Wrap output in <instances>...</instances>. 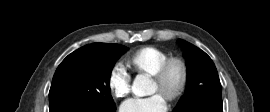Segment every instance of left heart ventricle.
Returning <instances> with one entry per match:
<instances>
[{
    "label": "left heart ventricle",
    "mask_w": 270,
    "mask_h": 112,
    "mask_svg": "<svg viewBox=\"0 0 270 112\" xmlns=\"http://www.w3.org/2000/svg\"><path fill=\"white\" fill-rule=\"evenodd\" d=\"M178 78V71L174 70L171 75V82L174 83ZM151 93H159L165 97V91L158 85L155 80H152Z\"/></svg>",
    "instance_id": "b2bd125f"
}]
</instances>
